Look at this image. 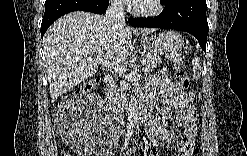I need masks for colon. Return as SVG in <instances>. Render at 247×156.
I'll return each instance as SVG.
<instances>
[{"instance_id": "obj_1", "label": "colon", "mask_w": 247, "mask_h": 156, "mask_svg": "<svg viewBox=\"0 0 247 156\" xmlns=\"http://www.w3.org/2000/svg\"><path fill=\"white\" fill-rule=\"evenodd\" d=\"M176 77L178 79V82H179L181 89L184 92H186V94H187V99H188L190 108L194 109V107H195L194 106L195 95H194L193 91L191 90V82H190V79H189L187 72L184 69L177 67L176 68ZM98 83H99L98 79H91V80L87 81L85 84H83L79 88V90L76 94V97L88 93L89 91L94 89L98 85ZM71 113H73V112L68 111V112H65L61 115L64 122L69 123L70 118L68 115ZM61 156H70V154L68 152L62 151Z\"/></svg>"}]
</instances>
